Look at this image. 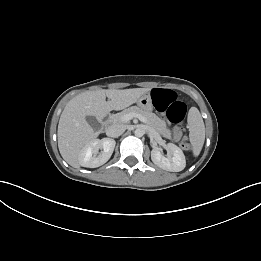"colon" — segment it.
<instances>
[{"instance_id":"5ec220e1","label":"colon","mask_w":261,"mask_h":261,"mask_svg":"<svg viewBox=\"0 0 261 261\" xmlns=\"http://www.w3.org/2000/svg\"><path fill=\"white\" fill-rule=\"evenodd\" d=\"M152 100L155 108L160 112H166L169 120L174 123L181 125L183 124L186 114L187 105L177 98L174 91L169 89H154L152 91ZM180 145L184 150H189L190 145L186 141L184 134H181Z\"/></svg>"}]
</instances>
